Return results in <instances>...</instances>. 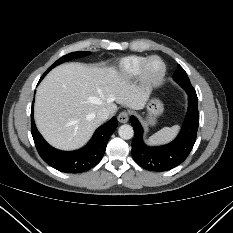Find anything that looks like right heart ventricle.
Masks as SVG:
<instances>
[{
	"mask_svg": "<svg viewBox=\"0 0 233 233\" xmlns=\"http://www.w3.org/2000/svg\"><path fill=\"white\" fill-rule=\"evenodd\" d=\"M147 57L132 55L121 59L117 65V77L121 81H129L139 75Z\"/></svg>",
	"mask_w": 233,
	"mask_h": 233,
	"instance_id": "e07e8e85",
	"label": "right heart ventricle"
}]
</instances>
